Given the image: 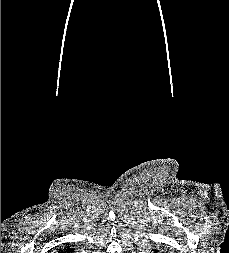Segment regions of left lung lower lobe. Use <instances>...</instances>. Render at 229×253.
I'll return each mask as SVG.
<instances>
[{
	"label": "left lung lower lobe",
	"mask_w": 229,
	"mask_h": 253,
	"mask_svg": "<svg viewBox=\"0 0 229 253\" xmlns=\"http://www.w3.org/2000/svg\"><path fill=\"white\" fill-rule=\"evenodd\" d=\"M154 252H155V253H158L159 251L155 249Z\"/></svg>",
	"instance_id": "0a47b994"
}]
</instances>
